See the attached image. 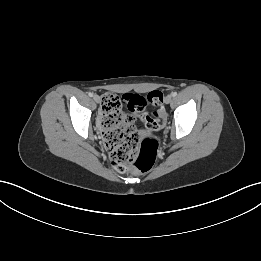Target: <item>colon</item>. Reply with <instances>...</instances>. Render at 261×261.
<instances>
[{"instance_id":"obj_1","label":"colon","mask_w":261,"mask_h":261,"mask_svg":"<svg viewBox=\"0 0 261 261\" xmlns=\"http://www.w3.org/2000/svg\"><path fill=\"white\" fill-rule=\"evenodd\" d=\"M162 101L163 94L158 90L151 91L146 96L133 93L125 96V102L132 115H140L141 123L156 131H161L168 124L165 112L157 109L151 117L150 113H142V110L148 105L158 107ZM121 106L122 102L117 95L112 93L103 95L102 136L109 153L111 166L120 173L129 169L146 172L155 163L159 144L152 137L140 139L134 128L128 125Z\"/></svg>"}]
</instances>
